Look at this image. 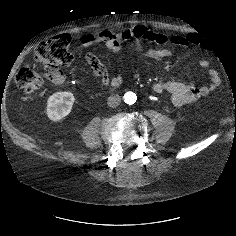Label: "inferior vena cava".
I'll use <instances>...</instances> for the list:
<instances>
[{
  "mask_svg": "<svg viewBox=\"0 0 236 236\" xmlns=\"http://www.w3.org/2000/svg\"><path fill=\"white\" fill-rule=\"evenodd\" d=\"M121 102V98L118 94H112L108 97L107 104L109 107L116 108Z\"/></svg>",
  "mask_w": 236,
  "mask_h": 236,
  "instance_id": "602c4592",
  "label": "inferior vena cava"
}]
</instances>
